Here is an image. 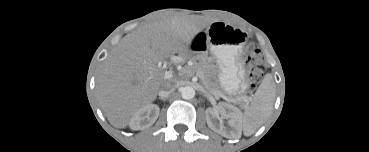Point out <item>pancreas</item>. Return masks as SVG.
I'll return each instance as SVG.
<instances>
[{"label": "pancreas", "instance_id": "1", "mask_svg": "<svg viewBox=\"0 0 369 152\" xmlns=\"http://www.w3.org/2000/svg\"><path fill=\"white\" fill-rule=\"evenodd\" d=\"M197 75L198 77H200L202 79L203 85L204 87L210 92V93H217V94H222V92L219 90L217 84L209 81L204 72L202 71V69H197Z\"/></svg>", "mask_w": 369, "mask_h": 152}]
</instances>
